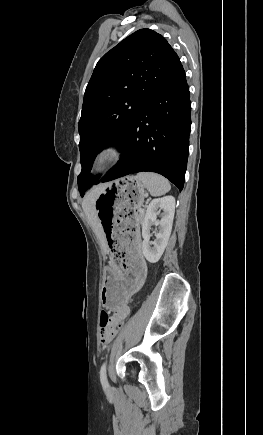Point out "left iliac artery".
Instances as JSON below:
<instances>
[{
	"label": "left iliac artery",
	"mask_w": 263,
	"mask_h": 435,
	"mask_svg": "<svg viewBox=\"0 0 263 435\" xmlns=\"http://www.w3.org/2000/svg\"><path fill=\"white\" fill-rule=\"evenodd\" d=\"M100 380L104 387L108 386L107 376H106V362L103 363L100 369Z\"/></svg>",
	"instance_id": "1"
}]
</instances>
